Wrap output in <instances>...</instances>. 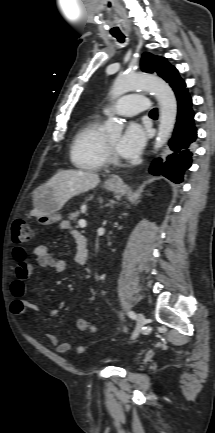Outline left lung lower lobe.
Returning <instances> with one entry per match:
<instances>
[{
	"mask_svg": "<svg viewBox=\"0 0 215 433\" xmlns=\"http://www.w3.org/2000/svg\"><path fill=\"white\" fill-rule=\"evenodd\" d=\"M169 84L175 92L178 103L177 122L169 141L171 154L165 161L156 159L150 172L153 175H163L174 183H181L184 171L192 164V144L197 138V129L194 124L192 98L185 81L179 77Z\"/></svg>",
	"mask_w": 215,
	"mask_h": 433,
	"instance_id": "0a47b994",
	"label": "left lung lower lobe"
}]
</instances>
